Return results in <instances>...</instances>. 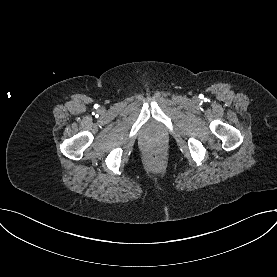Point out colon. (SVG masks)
<instances>
[{"label": "colon", "instance_id": "5ec220e1", "mask_svg": "<svg viewBox=\"0 0 277 277\" xmlns=\"http://www.w3.org/2000/svg\"><path fill=\"white\" fill-rule=\"evenodd\" d=\"M151 159L152 160H158L159 159V154L158 153H153L152 155H151Z\"/></svg>", "mask_w": 277, "mask_h": 277}]
</instances>
